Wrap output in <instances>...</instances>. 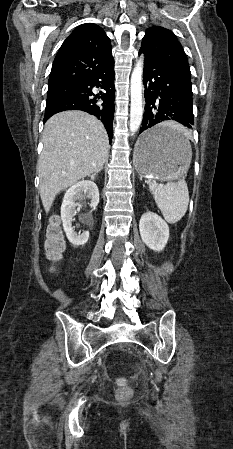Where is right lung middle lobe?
Returning a JSON list of instances; mask_svg holds the SVG:
<instances>
[{
	"instance_id": "right-lung-middle-lobe-1",
	"label": "right lung middle lobe",
	"mask_w": 233,
	"mask_h": 449,
	"mask_svg": "<svg viewBox=\"0 0 233 449\" xmlns=\"http://www.w3.org/2000/svg\"><path fill=\"white\" fill-rule=\"evenodd\" d=\"M80 93L81 91L77 86H66L48 90L46 107H50L68 99L76 98Z\"/></svg>"
}]
</instances>
